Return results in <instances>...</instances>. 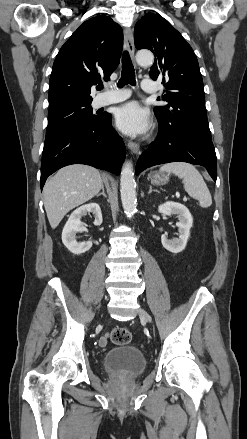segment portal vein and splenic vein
<instances>
[{
  "mask_svg": "<svg viewBox=\"0 0 247 439\" xmlns=\"http://www.w3.org/2000/svg\"><path fill=\"white\" fill-rule=\"evenodd\" d=\"M184 201H187V198L186 197H184V199H183Z\"/></svg>",
  "mask_w": 247,
  "mask_h": 439,
  "instance_id": "18ae733b",
  "label": "portal vein and splenic vein"
}]
</instances>
